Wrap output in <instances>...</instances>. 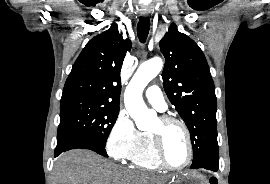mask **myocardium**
<instances>
[{
    "label": "myocardium",
    "mask_w": 270,
    "mask_h": 184,
    "mask_svg": "<svg viewBox=\"0 0 270 184\" xmlns=\"http://www.w3.org/2000/svg\"><path fill=\"white\" fill-rule=\"evenodd\" d=\"M159 120L163 126L178 125L185 134L186 142H187V149H188L187 159L181 166H173L169 164L168 161L166 160V157L164 154V142H163L162 134L155 133V132L150 133V136L153 142L155 155L160 165L163 168L171 170V171H181L190 165L193 158V143H192L190 131L187 125L182 120L174 116L165 115V116L160 117Z\"/></svg>",
    "instance_id": "obj_1"
}]
</instances>
